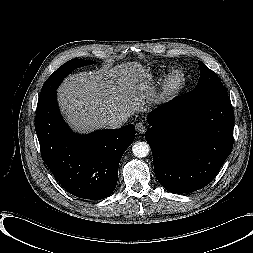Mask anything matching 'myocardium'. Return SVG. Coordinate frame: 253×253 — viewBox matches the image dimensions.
Masks as SVG:
<instances>
[{
	"label": "myocardium",
	"mask_w": 253,
	"mask_h": 253,
	"mask_svg": "<svg viewBox=\"0 0 253 253\" xmlns=\"http://www.w3.org/2000/svg\"><path fill=\"white\" fill-rule=\"evenodd\" d=\"M185 83L184 75L181 71L175 70L171 72L165 79L163 84V91L166 94H173L178 92Z\"/></svg>",
	"instance_id": "f54148a6"
}]
</instances>
